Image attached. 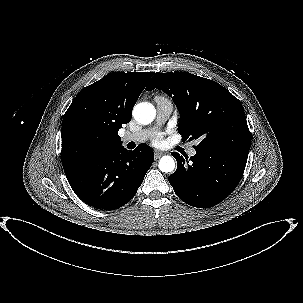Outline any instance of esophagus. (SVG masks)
<instances>
[{
	"label": "esophagus",
	"mask_w": 303,
	"mask_h": 303,
	"mask_svg": "<svg viewBox=\"0 0 303 303\" xmlns=\"http://www.w3.org/2000/svg\"><path fill=\"white\" fill-rule=\"evenodd\" d=\"M163 154H164V153L161 152V151H158V150L154 151V155H155V158H156V159L160 158Z\"/></svg>",
	"instance_id": "esophagus-1"
}]
</instances>
